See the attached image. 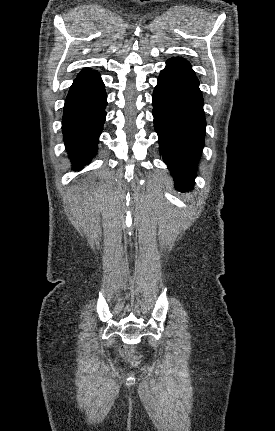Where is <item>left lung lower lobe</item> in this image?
Here are the masks:
<instances>
[{"label":"left lung lower lobe","mask_w":275,"mask_h":431,"mask_svg":"<svg viewBox=\"0 0 275 431\" xmlns=\"http://www.w3.org/2000/svg\"><path fill=\"white\" fill-rule=\"evenodd\" d=\"M203 105L191 64L182 57L168 59L153 92L154 128L160 154L181 190L195 183L205 140Z\"/></svg>","instance_id":"left-lung-lower-lobe-1"}]
</instances>
